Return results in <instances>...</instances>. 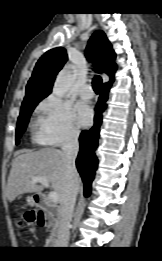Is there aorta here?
Listing matches in <instances>:
<instances>
[{"label": "aorta", "instance_id": "aorta-1", "mask_svg": "<svg viewBox=\"0 0 162 261\" xmlns=\"http://www.w3.org/2000/svg\"><path fill=\"white\" fill-rule=\"evenodd\" d=\"M73 81L74 76L71 67H65L57 75L53 86V93L58 97H65Z\"/></svg>", "mask_w": 162, "mask_h": 261}]
</instances>
